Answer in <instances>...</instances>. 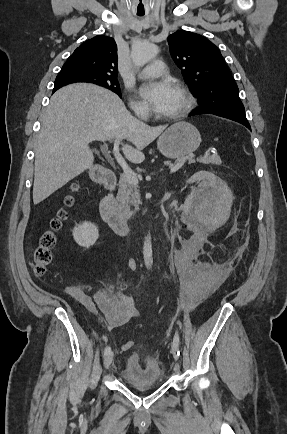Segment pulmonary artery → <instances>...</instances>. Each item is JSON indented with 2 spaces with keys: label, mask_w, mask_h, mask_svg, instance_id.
I'll return each mask as SVG.
<instances>
[{
  "label": "pulmonary artery",
  "mask_w": 287,
  "mask_h": 434,
  "mask_svg": "<svg viewBox=\"0 0 287 434\" xmlns=\"http://www.w3.org/2000/svg\"><path fill=\"white\" fill-rule=\"evenodd\" d=\"M165 73V64L161 60L152 61L148 66L139 72L140 78H151L162 76Z\"/></svg>",
  "instance_id": "obj_1"
}]
</instances>
